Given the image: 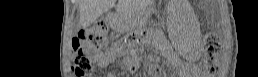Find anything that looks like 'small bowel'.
Returning <instances> with one entry per match:
<instances>
[{
	"instance_id": "1",
	"label": "small bowel",
	"mask_w": 258,
	"mask_h": 77,
	"mask_svg": "<svg viewBox=\"0 0 258 77\" xmlns=\"http://www.w3.org/2000/svg\"><path fill=\"white\" fill-rule=\"evenodd\" d=\"M111 53H115V51H111ZM91 55L96 60L99 67H102L106 64L107 56L102 55L101 53H98V52H93Z\"/></svg>"
}]
</instances>
